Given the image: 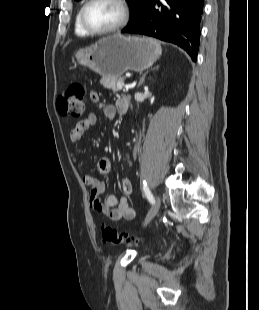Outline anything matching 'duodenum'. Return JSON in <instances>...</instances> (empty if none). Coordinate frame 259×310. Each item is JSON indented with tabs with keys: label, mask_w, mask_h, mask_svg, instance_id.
<instances>
[{
	"label": "duodenum",
	"mask_w": 259,
	"mask_h": 310,
	"mask_svg": "<svg viewBox=\"0 0 259 310\" xmlns=\"http://www.w3.org/2000/svg\"><path fill=\"white\" fill-rule=\"evenodd\" d=\"M128 105H129V99L127 97L122 98L118 104V108H117L118 112L121 114L126 113L128 109Z\"/></svg>",
	"instance_id": "duodenum-1"
}]
</instances>
